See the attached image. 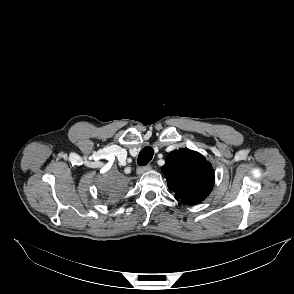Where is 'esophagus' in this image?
I'll use <instances>...</instances> for the list:
<instances>
[{
	"mask_svg": "<svg viewBox=\"0 0 294 294\" xmlns=\"http://www.w3.org/2000/svg\"><path fill=\"white\" fill-rule=\"evenodd\" d=\"M151 165H146V166H140L137 168L136 173L137 175H141L149 170H151Z\"/></svg>",
	"mask_w": 294,
	"mask_h": 294,
	"instance_id": "1",
	"label": "esophagus"
}]
</instances>
